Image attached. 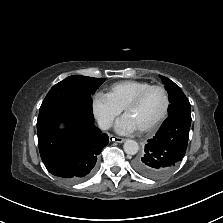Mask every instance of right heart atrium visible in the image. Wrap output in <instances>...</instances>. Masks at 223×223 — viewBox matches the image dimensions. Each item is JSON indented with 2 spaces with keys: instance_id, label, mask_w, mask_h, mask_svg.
I'll return each instance as SVG.
<instances>
[{
  "instance_id": "d8ad5b80",
  "label": "right heart atrium",
  "mask_w": 223,
  "mask_h": 223,
  "mask_svg": "<svg viewBox=\"0 0 223 223\" xmlns=\"http://www.w3.org/2000/svg\"><path fill=\"white\" fill-rule=\"evenodd\" d=\"M92 109L98 123L104 129L109 128L122 111L107 94L100 92L93 96Z\"/></svg>"
}]
</instances>
